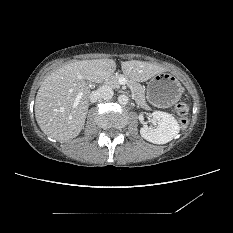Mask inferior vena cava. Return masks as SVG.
<instances>
[{
	"label": "inferior vena cava",
	"instance_id": "obj_1",
	"mask_svg": "<svg viewBox=\"0 0 233 233\" xmlns=\"http://www.w3.org/2000/svg\"><path fill=\"white\" fill-rule=\"evenodd\" d=\"M113 90L111 87L104 85L99 87L96 91L90 95V101L96 102L98 99L109 100L113 97Z\"/></svg>",
	"mask_w": 233,
	"mask_h": 233
}]
</instances>
